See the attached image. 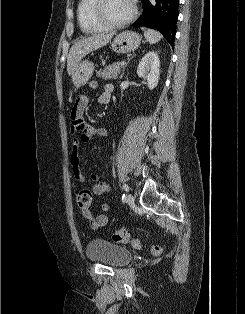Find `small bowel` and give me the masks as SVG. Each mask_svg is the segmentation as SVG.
Instances as JSON below:
<instances>
[{"instance_id": "obj_1", "label": "small bowel", "mask_w": 245, "mask_h": 314, "mask_svg": "<svg viewBox=\"0 0 245 314\" xmlns=\"http://www.w3.org/2000/svg\"><path fill=\"white\" fill-rule=\"evenodd\" d=\"M90 87L96 89L98 84L96 81L90 82ZM113 88L112 85L107 83L104 85L103 92L98 97L100 104H108L111 99ZM88 97L86 95H79L76 97L71 109V134L74 137L71 164L73 167L74 178L79 183H85L87 178L81 171L80 166V145L82 143H88L93 139L99 137L108 136V131L104 128H96L88 123L84 118V111L88 104ZM92 192L95 195H102L110 191V186L107 182L101 181L98 176H90ZM101 208L105 212L110 211V206L106 203L101 205ZM90 224V227L94 230L100 229L106 226L109 222L107 214L93 215L91 211L88 213H82Z\"/></svg>"}]
</instances>
